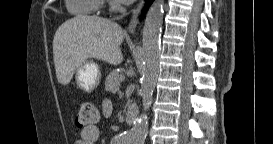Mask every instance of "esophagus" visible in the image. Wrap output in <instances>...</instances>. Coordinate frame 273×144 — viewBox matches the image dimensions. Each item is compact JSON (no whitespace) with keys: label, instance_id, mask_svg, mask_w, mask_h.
Wrapping results in <instances>:
<instances>
[{"label":"esophagus","instance_id":"obj_1","mask_svg":"<svg viewBox=\"0 0 273 144\" xmlns=\"http://www.w3.org/2000/svg\"><path fill=\"white\" fill-rule=\"evenodd\" d=\"M143 5H144V1H141L132 13V17H131V20H130V23L128 26V31L130 34H134V32L136 30V27L138 24V16L140 14V11H141Z\"/></svg>","mask_w":273,"mask_h":144}]
</instances>
